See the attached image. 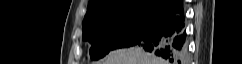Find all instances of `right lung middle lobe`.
I'll return each mask as SVG.
<instances>
[{
  "label": "right lung middle lobe",
  "instance_id": "right-lung-middle-lobe-1",
  "mask_svg": "<svg viewBox=\"0 0 242 64\" xmlns=\"http://www.w3.org/2000/svg\"><path fill=\"white\" fill-rule=\"evenodd\" d=\"M163 14L147 9L115 12L83 24V41L92 44L90 58L98 60L110 51L136 45Z\"/></svg>",
  "mask_w": 242,
  "mask_h": 64
}]
</instances>
